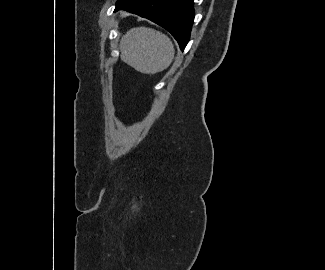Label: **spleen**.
I'll return each mask as SVG.
<instances>
[{
    "label": "spleen",
    "mask_w": 325,
    "mask_h": 270,
    "mask_svg": "<svg viewBox=\"0 0 325 270\" xmlns=\"http://www.w3.org/2000/svg\"><path fill=\"white\" fill-rule=\"evenodd\" d=\"M121 59L144 74H155L168 68L175 49L168 36L148 27L130 29L119 45Z\"/></svg>",
    "instance_id": "spleen-1"
}]
</instances>
